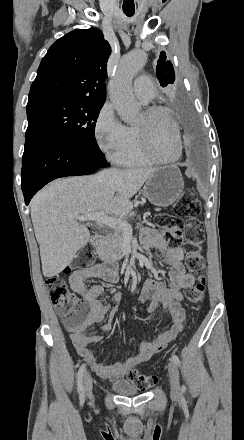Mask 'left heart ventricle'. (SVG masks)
Returning <instances> with one entry per match:
<instances>
[{
  "mask_svg": "<svg viewBox=\"0 0 244 440\" xmlns=\"http://www.w3.org/2000/svg\"><path fill=\"white\" fill-rule=\"evenodd\" d=\"M165 116L162 113H158L150 118L147 127L149 134L146 143L148 146H154L156 151H161L164 158H170L174 154L176 136L172 127H169V123L165 121ZM145 121L146 117L142 112L135 125L141 126Z\"/></svg>",
  "mask_w": 244,
  "mask_h": 440,
  "instance_id": "left-heart-ventricle-1",
  "label": "left heart ventricle"
}]
</instances>
